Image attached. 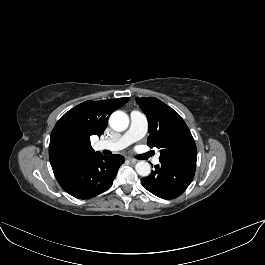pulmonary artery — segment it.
Returning a JSON list of instances; mask_svg holds the SVG:
<instances>
[{
    "mask_svg": "<svg viewBox=\"0 0 265 265\" xmlns=\"http://www.w3.org/2000/svg\"><path fill=\"white\" fill-rule=\"evenodd\" d=\"M147 130L148 122L146 117L138 111H132L130 114L129 129L119 137L110 140H100L97 143V146L99 149H108L111 151L122 150L143 138L146 135ZM153 163H159V156L153 158Z\"/></svg>",
    "mask_w": 265,
    "mask_h": 265,
    "instance_id": "e3ab8cb5",
    "label": "pulmonary artery"
}]
</instances>
